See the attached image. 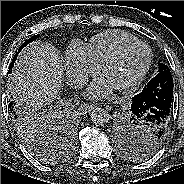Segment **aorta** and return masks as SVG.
Returning a JSON list of instances; mask_svg holds the SVG:
<instances>
[{
	"label": "aorta",
	"mask_w": 184,
	"mask_h": 184,
	"mask_svg": "<svg viewBox=\"0 0 184 184\" xmlns=\"http://www.w3.org/2000/svg\"><path fill=\"white\" fill-rule=\"evenodd\" d=\"M109 117V113L101 107L95 108L91 112V121L96 126L106 125L109 121Z\"/></svg>",
	"instance_id": "762f6f07"
}]
</instances>
